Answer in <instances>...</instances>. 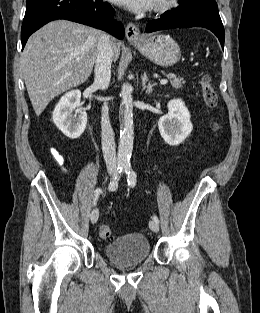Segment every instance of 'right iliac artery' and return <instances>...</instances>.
<instances>
[{"label":"right iliac artery","mask_w":260,"mask_h":313,"mask_svg":"<svg viewBox=\"0 0 260 313\" xmlns=\"http://www.w3.org/2000/svg\"><path fill=\"white\" fill-rule=\"evenodd\" d=\"M123 169H124V166H123V165H118V167H117V169H116V171H115V173H114V175H113V177H112V179H111V181H110V183H109V186H108V189H109L110 191H114V190L117 189V187H118V182H119V179H120V174H121V172L123 171ZM101 191H102V190H101L100 188H97V189L95 190V192H94L95 198H94V201H93V205H96V201H97V199H98V197H99Z\"/></svg>","instance_id":"82829eb1"}]
</instances>
